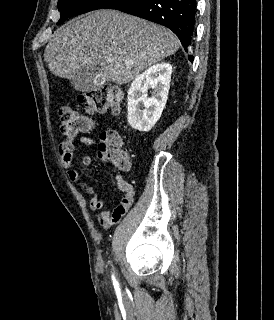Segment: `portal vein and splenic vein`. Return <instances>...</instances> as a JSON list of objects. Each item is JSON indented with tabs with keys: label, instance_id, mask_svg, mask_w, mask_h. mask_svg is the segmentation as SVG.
Here are the masks:
<instances>
[{
	"label": "portal vein and splenic vein",
	"instance_id": "18ae733b",
	"mask_svg": "<svg viewBox=\"0 0 274 320\" xmlns=\"http://www.w3.org/2000/svg\"><path fill=\"white\" fill-rule=\"evenodd\" d=\"M106 62H113V60H111V58H106Z\"/></svg>",
	"mask_w": 274,
	"mask_h": 320
}]
</instances>
